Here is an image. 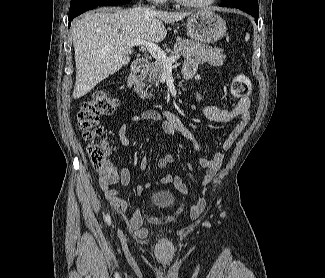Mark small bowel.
<instances>
[{
  "label": "small bowel",
  "instance_id": "1",
  "mask_svg": "<svg viewBox=\"0 0 325 278\" xmlns=\"http://www.w3.org/2000/svg\"><path fill=\"white\" fill-rule=\"evenodd\" d=\"M196 71V60L192 58L187 59L183 67L184 76L188 79L193 78ZM197 99L198 101H202L203 99V94L200 90L197 92ZM250 104V98L248 96H244L239 99L237 105L231 112L211 105H204L202 107L205 117L209 121L215 123H225L232 119L239 118V122L235 125L222 144V148L224 150H228L232 146L237 137L248 124L250 119ZM147 122L162 124V127L167 134H180L188 142H190L195 149H200V144L194 133L184 125L179 116L168 110H145L130 116V118L120 127L118 131V137L121 145L127 147L131 144V139L127 135L129 125L139 127ZM223 160L224 154L222 152L215 153L211 158L204 157L200 159L199 164L205 170V174L200 182L201 187H206L212 182L217 171L221 167ZM173 161L174 156L171 153L165 154L158 159L157 167L159 169H166L173 163ZM146 166L147 160L143 159L141 168L145 170ZM97 175L99 178V184L103 189L106 198L119 208L125 209L126 202L120 197V194L118 190L114 188V185L119 183L123 186H127L130 183L131 173L129 169L126 166H123L121 169H117L110 159H106L104 165L97 170ZM160 182L162 184L173 185L176 189L182 192L189 189V186L185 184L176 174H165L161 178ZM149 186V184H139L136 186V192L142 193Z\"/></svg>",
  "mask_w": 325,
  "mask_h": 278
}]
</instances>
